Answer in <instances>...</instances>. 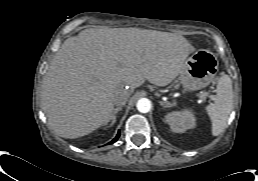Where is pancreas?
Wrapping results in <instances>:
<instances>
[{
  "mask_svg": "<svg viewBox=\"0 0 258 181\" xmlns=\"http://www.w3.org/2000/svg\"><path fill=\"white\" fill-rule=\"evenodd\" d=\"M200 98H201L202 100H205V98H206V94H202V95H200Z\"/></svg>",
  "mask_w": 258,
  "mask_h": 181,
  "instance_id": "cf45deb5",
  "label": "pancreas"
}]
</instances>
